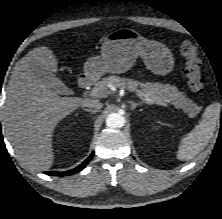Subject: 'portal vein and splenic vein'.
Instances as JSON below:
<instances>
[{"label":"portal vein and splenic vein","instance_id":"18ae733b","mask_svg":"<svg viewBox=\"0 0 222 219\" xmlns=\"http://www.w3.org/2000/svg\"><path fill=\"white\" fill-rule=\"evenodd\" d=\"M107 94L106 91H104L102 88H93L92 91L90 92V95L91 96H94V97H103ZM138 97L142 98V95L140 94H137ZM146 102H149V99L147 97H144L143 98ZM159 105H162V106H165L166 103H164L163 101H159L158 102Z\"/></svg>","mask_w":222,"mask_h":219}]
</instances>
